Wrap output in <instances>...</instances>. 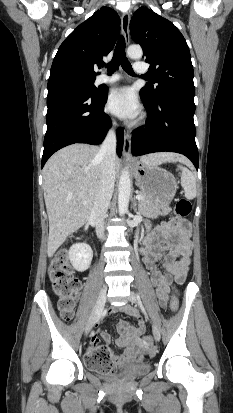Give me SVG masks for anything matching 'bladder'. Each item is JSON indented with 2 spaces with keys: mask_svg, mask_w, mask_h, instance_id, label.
Here are the masks:
<instances>
[{
  "mask_svg": "<svg viewBox=\"0 0 233 413\" xmlns=\"http://www.w3.org/2000/svg\"><path fill=\"white\" fill-rule=\"evenodd\" d=\"M149 370H150L149 365L144 364V363H138L136 365L126 368L125 370L119 373L101 372V374L105 378L110 379V380L125 381V380H130V379L141 377L147 374Z\"/></svg>",
  "mask_w": 233,
  "mask_h": 413,
  "instance_id": "1",
  "label": "bladder"
}]
</instances>
